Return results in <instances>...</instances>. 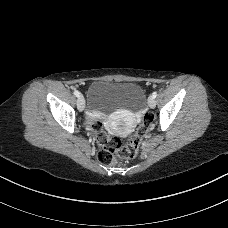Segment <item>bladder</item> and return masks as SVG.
<instances>
[{
    "instance_id": "bladder-1",
    "label": "bladder",
    "mask_w": 228,
    "mask_h": 228,
    "mask_svg": "<svg viewBox=\"0 0 228 228\" xmlns=\"http://www.w3.org/2000/svg\"><path fill=\"white\" fill-rule=\"evenodd\" d=\"M91 117L119 109L138 111L145 102L143 88L132 82L95 81L88 88Z\"/></svg>"
}]
</instances>
